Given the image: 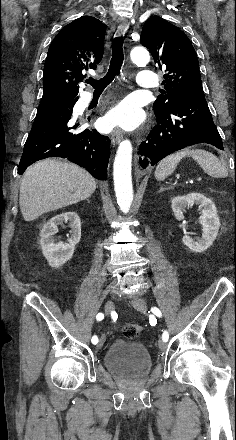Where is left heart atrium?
<instances>
[{"mask_svg":"<svg viewBox=\"0 0 236 440\" xmlns=\"http://www.w3.org/2000/svg\"><path fill=\"white\" fill-rule=\"evenodd\" d=\"M136 108L129 101H122L107 114L104 121L106 128H133L136 125Z\"/></svg>","mask_w":236,"mask_h":440,"instance_id":"obj_1","label":"left heart atrium"}]
</instances>
